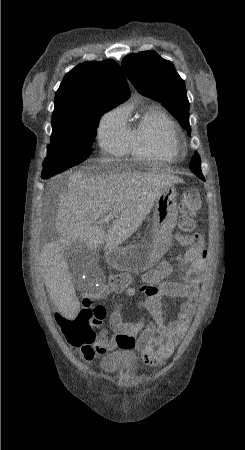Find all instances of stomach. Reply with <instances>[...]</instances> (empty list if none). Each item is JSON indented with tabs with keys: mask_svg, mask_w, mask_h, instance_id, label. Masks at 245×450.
I'll return each mask as SVG.
<instances>
[{
	"mask_svg": "<svg viewBox=\"0 0 245 450\" xmlns=\"http://www.w3.org/2000/svg\"><path fill=\"white\" fill-rule=\"evenodd\" d=\"M177 216V190L175 185L171 184L161 191L155 202L152 241L107 250L106 261L118 270L131 273H142L151 269L169 249Z\"/></svg>",
	"mask_w": 245,
	"mask_h": 450,
	"instance_id": "stomach-1",
	"label": "stomach"
}]
</instances>
